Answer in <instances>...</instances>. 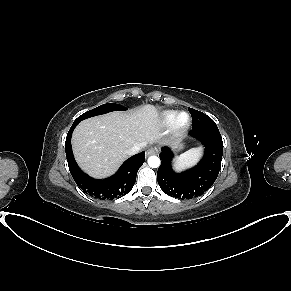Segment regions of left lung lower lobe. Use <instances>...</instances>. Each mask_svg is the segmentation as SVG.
Wrapping results in <instances>:
<instances>
[{
	"mask_svg": "<svg viewBox=\"0 0 291 291\" xmlns=\"http://www.w3.org/2000/svg\"><path fill=\"white\" fill-rule=\"evenodd\" d=\"M190 136L202 142L204 156L193 168L176 173L172 169L174 154L168 147H163L159 157L161 165L157 172L160 188L169 196L179 199H191L201 196L215 182L221 167L223 141L216 123L201 127L192 126Z\"/></svg>",
	"mask_w": 291,
	"mask_h": 291,
	"instance_id": "1",
	"label": "left lung lower lobe"
}]
</instances>
